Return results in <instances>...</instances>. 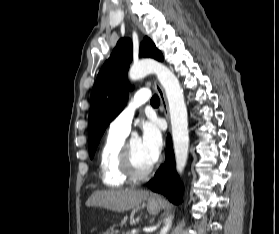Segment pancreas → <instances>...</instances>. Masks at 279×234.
Masks as SVG:
<instances>
[{"label": "pancreas", "instance_id": "1", "mask_svg": "<svg viewBox=\"0 0 279 234\" xmlns=\"http://www.w3.org/2000/svg\"><path fill=\"white\" fill-rule=\"evenodd\" d=\"M126 234H131L130 232H127Z\"/></svg>", "mask_w": 279, "mask_h": 234}]
</instances>
